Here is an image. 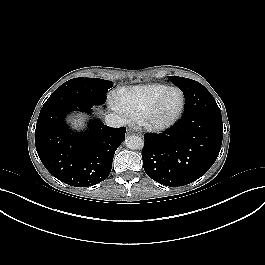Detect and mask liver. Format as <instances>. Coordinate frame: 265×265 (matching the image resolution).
Instances as JSON below:
<instances>
[{"mask_svg": "<svg viewBox=\"0 0 265 265\" xmlns=\"http://www.w3.org/2000/svg\"><path fill=\"white\" fill-rule=\"evenodd\" d=\"M82 121H83V118L82 117H80L78 120H74V124L76 125V124H80L81 125V123H82Z\"/></svg>", "mask_w": 265, "mask_h": 265, "instance_id": "1", "label": "liver"}]
</instances>
